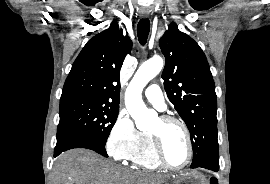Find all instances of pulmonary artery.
I'll use <instances>...</instances> for the list:
<instances>
[{
    "label": "pulmonary artery",
    "mask_w": 270,
    "mask_h": 184,
    "mask_svg": "<svg viewBox=\"0 0 270 184\" xmlns=\"http://www.w3.org/2000/svg\"><path fill=\"white\" fill-rule=\"evenodd\" d=\"M144 94L147 100L158 110L162 111L166 108L162 91L158 85H150L146 88Z\"/></svg>",
    "instance_id": "obj_1"
}]
</instances>
